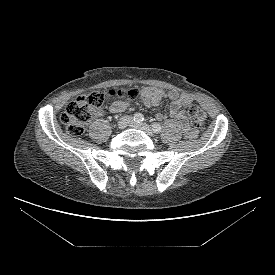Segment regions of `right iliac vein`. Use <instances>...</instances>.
I'll list each match as a JSON object with an SVG mask.
<instances>
[{
    "instance_id": "63e3f726",
    "label": "right iliac vein",
    "mask_w": 275,
    "mask_h": 275,
    "mask_svg": "<svg viewBox=\"0 0 275 275\" xmlns=\"http://www.w3.org/2000/svg\"><path fill=\"white\" fill-rule=\"evenodd\" d=\"M132 122H133V120L130 117L124 116V117H122V118L119 119V121L117 123V127L119 129H124L128 125H130Z\"/></svg>"
}]
</instances>
